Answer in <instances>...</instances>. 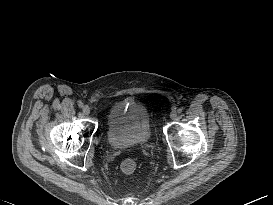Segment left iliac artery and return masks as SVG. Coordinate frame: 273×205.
I'll list each match as a JSON object with an SVG mask.
<instances>
[{
  "label": "left iliac artery",
  "mask_w": 273,
  "mask_h": 205,
  "mask_svg": "<svg viewBox=\"0 0 273 205\" xmlns=\"http://www.w3.org/2000/svg\"><path fill=\"white\" fill-rule=\"evenodd\" d=\"M182 111H183L182 108H179V109L177 110V112H178L179 114L182 113Z\"/></svg>",
  "instance_id": "1"
}]
</instances>
